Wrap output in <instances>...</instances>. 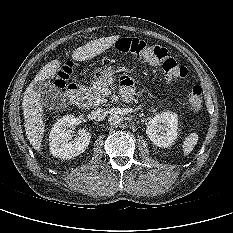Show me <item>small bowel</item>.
<instances>
[{
    "instance_id": "c3829d8e",
    "label": "small bowel",
    "mask_w": 233,
    "mask_h": 233,
    "mask_svg": "<svg viewBox=\"0 0 233 233\" xmlns=\"http://www.w3.org/2000/svg\"><path fill=\"white\" fill-rule=\"evenodd\" d=\"M123 93L129 96L131 93V80L128 77H124L121 81Z\"/></svg>"
}]
</instances>
